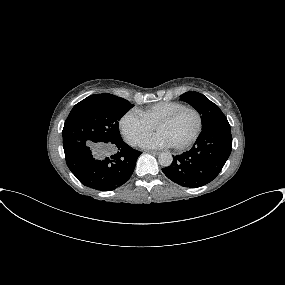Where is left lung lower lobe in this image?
I'll return each instance as SVG.
<instances>
[{
    "label": "left lung lower lobe",
    "mask_w": 285,
    "mask_h": 285,
    "mask_svg": "<svg viewBox=\"0 0 285 285\" xmlns=\"http://www.w3.org/2000/svg\"><path fill=\"white\" fill-rule=\"evenodd\" d=\"M232 149L230 125L213 124L202 128L194 146L173 156L163 173L173 182L190 188L201 187L217 177Z\"/></svg>",
    "instance_id": "1"
}]
</instances>
